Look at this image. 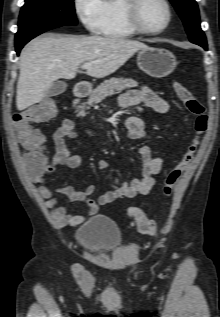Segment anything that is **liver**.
Returning a JSON list of instances; mask_svg holds the SVG:
<instances>
[{
  "label": "liver",
  "mask_w": 220,
  "mask_h": 317,
  "mask_svg": "<svg viewBox=\"0 0 220 317\" xmlns=\"http://www.w3.org/2000/svg\"><path fill=\"white\" fill-rule=\"evenodd\" d=\"M147 45L119 37H64L47 34L32 40L20 54L16 106L22 111L39 103L58 79H73L84 63L87 75L104 78Z\"/></svg>",
  "instance_id": "6515ba94"
}]
</instances>
